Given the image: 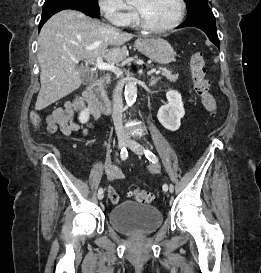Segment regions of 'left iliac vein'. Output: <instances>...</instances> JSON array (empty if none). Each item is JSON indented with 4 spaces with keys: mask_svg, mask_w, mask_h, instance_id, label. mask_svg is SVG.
I'll use <instances>...</instances> for the list:
<instances>
[{
    "mask_svg": "<svg viewBox=\"0 0 261 273\" xmlns=\"http://www.w3.org/2000/svg\"><path fill=\"white\" fill-rule=\"evenodd\" d=\"M126 145L133 151L135 152L136 154L138 155H143V149L137 145L132 139L130 138H127L126 140ZM169 191L172 193L173 191H171L169 189ZM166 192V191H165Z\"/></svg>",
    "mask_w": 261,
    "mask_h": 273,
    "instance_id": "1",
    "label": "left iliac vein"
}]
</instances>
